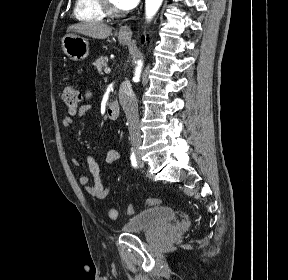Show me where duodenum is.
Segmentation results:
<instances>
[{
    "instance_id": "duodenum-1",
    "label": "duodenum",
    "mask_w": 288,
    "mask_h": 280,
    "mask_svg": "<svg viewBox=\"0 0 288 280\" xmlns=\"http://www.w3.org/2000/svg\"><path fill=\"white\" fill-rule=\"evenodd\" d=\"M120 115V104L117 101H112L107 108V116L110 120H117Z\"/></svg>"
}]
</instances>
